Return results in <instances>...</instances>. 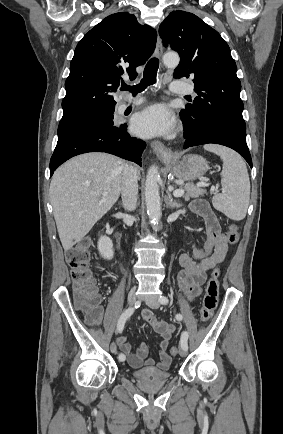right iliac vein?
Segmentation results:
<instances>
[{
	"mask_svg": "<svg viewBox=\"0 0 283 434\" xmlns=\"http://www.w3.org/2000/svg\"><path fill=\"white\" fill-rule=\"evenodd\" d=\"M127 301H128V305H129V307H131V306H133V305L135 304V302H136V287H133V288L130 290V292H129V294H128ZM110 350H111V352H112L113 354H116V353H117V348H116V345H115L114 342L111 343V345H110Z\"/></svg>",
	"mask_w": 283,
	"mask_h": 434,
	"instance_id": "1",
	"label": "right iliac vein"
}]
</instances>
